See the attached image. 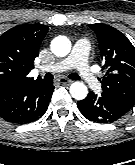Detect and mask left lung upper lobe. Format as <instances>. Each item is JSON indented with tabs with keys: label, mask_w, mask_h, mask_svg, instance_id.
Instances as JSON below:
<instances>
[{
	"label": "left lung upper lobe",
	"mask_w": 135,
	"mask_h": 165,
	"mask_svg": "<svg viewBox=\"0 0 135 165\" xmlns=\"http://www.w3.org/2000/svg\"><path fill=\"white\" fill-rule=\"evenodd\" d=\"M88 26L97 35L104 60L102 94L129 111L135 105V47L123 33L112 26L102 23Z\"/></svg>",
	"instance_id": "obj_1"
}]
</instances>
